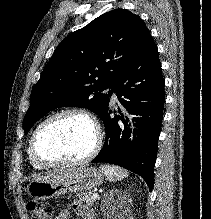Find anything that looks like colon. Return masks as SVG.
<instances>
[{
    "mask_svg": "<svg viewBox=\"0 0 211 219\" xmlns=\"http://www.w3.org/2000/svg\"><path fill=\"white\" fill-rule=\"evenodd\" d=\"M28 210L31 219H52L53 216V208L49 204L30 202Z\"/></svg>",
    "mask_w": 211,
    "mask_h": 219,
    "instance_id": "colon-1",
    "label": "colon"
}]
</instances>
